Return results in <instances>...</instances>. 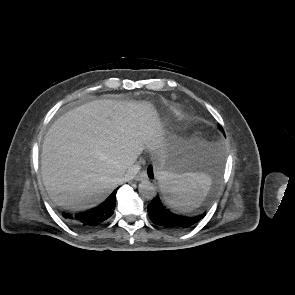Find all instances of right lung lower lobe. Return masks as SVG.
Segmentation results:
<instances>
[{
    "instance_id": "98d812e1",
    "label": "right lung lower lobe",
    "mask_w": 295,
    "mask_h": 295,
    "mask_svg": "<svg viewBox=\"0 0 295 295\" xmlns=\"http://www.w3.org/2000/svg\"><path fill=\"white\" fill-rule=\"evenodd\" d=\"M117 190V189H116ZM116 190L98 208L75 216L63 214L65 218L74 219L80 226L90 228L104 223L114 212Z\"/></svg>"
}]
</instances>
